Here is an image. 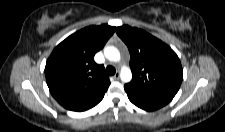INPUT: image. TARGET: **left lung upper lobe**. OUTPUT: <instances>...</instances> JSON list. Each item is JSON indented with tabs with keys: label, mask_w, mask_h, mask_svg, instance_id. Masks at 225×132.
<instances>
[{
	"label": "left lung upper lobe",
	"mask_w": 225,
	"mask_h": 132,
	"mask_svg": "<svg viewBox=\"0 0 225 132\" xmlns=\"http://www.w3.org/2000/svg\"><path fill=\"white\" fill-rule=\"evenodd\" d=\"M118 36L128 46L133 78L125 87L144 96L173 99L183 79V69L177 54L149 33L123 25L116 28Z\"/></svg>",
	"instance_id": "1"
}]
</instances>
